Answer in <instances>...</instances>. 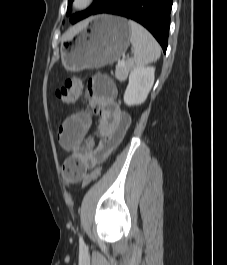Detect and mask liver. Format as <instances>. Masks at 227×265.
I'll list each match as a JSON object with an SVG mask.
<instances>
[{
	"instance_id": "6515ba94",
	"label": "liver",
	"mask_w": 227,
	"mask_h": 265,
	"mask_svg": "<svg viewBox=\"0 0 227 265\" xmlns=\"http://www.w3.org/2000/svg\"><path fill=\"white\" fill-rule=\"evenodd\" d=\"M83 24H81V25H78V26H76V27H74V28H72V29H70L68 32H66L64 35H63V37H62V39L63 40H70L79 30H81L82 28H83Z\"/></svg>"
}]
</instances>
